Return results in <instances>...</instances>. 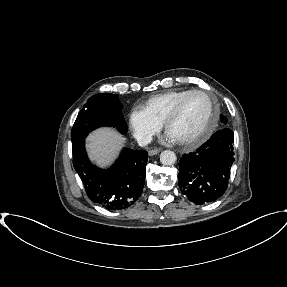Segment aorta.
I'll list each match as a JSON object with an SVG mask.
<instances>
[{"mask_svg": "<svg viewBox=\"0 0 287 287\" xmlns=\"http://www.w3.org/2000/svg\"><path fill=\"white\" fill-rule=\"evenodd\" d=\"M177 160L176 154L170 150H164L160 154V162L163 165L170 166L173 165Z\"/></svg>", "mask_w": 287, "mask_h": 287, "instance_id": "1", "label": "aorta"}]
</instances>
